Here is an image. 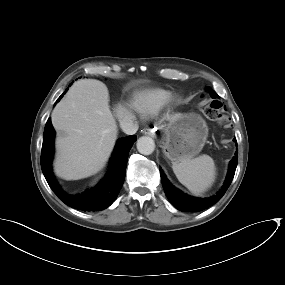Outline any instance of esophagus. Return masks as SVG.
<instances>
[{"label":"esophagus","mask_w":285,"mask_h":285,"mask_svg":"<svg viewBox=\"0 0 285 285\" xmlns=\"http://www.w3.org/2000/svg\"><path fill=\"white\" fill-rule=\"evenodd\" d=\"M145 134H146L147 136L152 137V138H156V133H155V131H154L153 129H151V128L146 129Z\"/></svg>","instance_id":"1"}]
</instances>
